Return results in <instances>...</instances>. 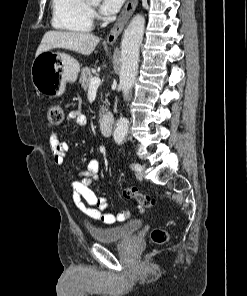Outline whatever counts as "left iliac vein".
Returning <instances> with one entry per match:
<instances>
[{"instance_id":"left-iliac-vein-1","label":"left iliac vein","mask_w":247,"mask_h":296,"mask_svg":"<svg viewBox=\"0 0 247 296\" xmlns=\"http://www.w3.org/2000/svg\"><path fill=\"white\" fill-rule=\"evenodd\" d=\"M136 177H137V179H139V180H142L143 179V177H144V173H143V168L141 167V170H138L137 172H136Z\"/></svg>"}]
</instances>
